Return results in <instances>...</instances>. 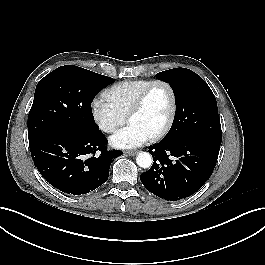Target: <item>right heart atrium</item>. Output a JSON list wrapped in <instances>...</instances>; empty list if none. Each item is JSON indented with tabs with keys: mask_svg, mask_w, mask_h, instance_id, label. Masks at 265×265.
Segmentation results:
<instances>
[{
	"mask_svg": "<svg viewBox=\"0 0 265 265\" xmlns=\"http://www.w3.org/2000/svg\"><path fill=\"white\" fill-rule=\"evenodd\" d=\"M91 114L97 127L105 133L115 132L126 122V116L103 98H95L92 101Z\"/></svg>",
	"mask_w": 265,
	"mask_h": 265,
	"instance_id": "d8ad5b80",
	"label": "right heart atrium"
}]
</instances>
